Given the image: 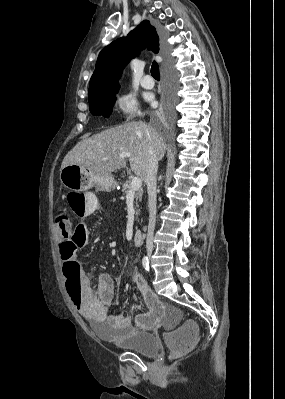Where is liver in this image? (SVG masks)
<instances>
[{"label": "liver", "instance_id": "obj_1", "mask_svg": "<svg viewBox=\"0 0 285 399\" xmlns=\"http://www.w3.org/2000/svg\"><path fill=\"white\" fill-rule=\"evenodd\" d=\"M149 146L156 150L158 159L166 151L163 137L143 122H128L112 127L78 142L64 157L61 169L78 165L93 177L109 176L126 166V159L120 153L130 154L131 170L146 180Z\"/></svg>", "mask_w": 285, "mask_h": 399}]
</instances>
